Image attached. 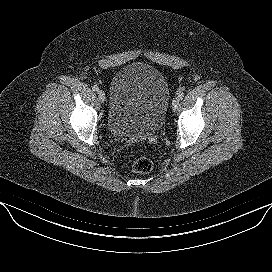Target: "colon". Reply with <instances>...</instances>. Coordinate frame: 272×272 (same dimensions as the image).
I'll return each instance as SVG.
<instances>
[{"label":"colon","instance_id":"obj_1","mask_svg":"<svg viewBox=\"0 0 272 272\" xmlns=\"http://www.w3.org/2000/svg\"><path fill=\"white\" fill-rule=\"evenodd\" d=\"M152 168V161L144 155L136 156L132 161V169L136 173L147 174L151 172Z\"/></svg>","mask_w":272,"mask_h":272}]
</instances>
